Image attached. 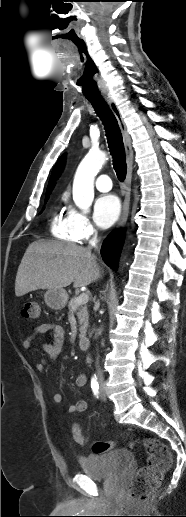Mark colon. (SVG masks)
I'll use <instances>...</instances> for the list:
<instances>
[{"instance_id":"1","label":"colon","mask_w":186,"mask_h":517,"mask_svg":"<svg viewBox=\"0 0 186 517\" xmlns=\"http://www.w3.org/2000/svg\"><path fill=\"white\" fill-rule=\"evenodd\" d=\"M40 313V305L36 301L27 302L22 309V316L25 319L37 320ZM73 437L78 443L85 441L79 426L74 427ZM132 445L143 447L148 454L147 465L137 471L128 487V497L138 501L144 500L150 492L158 487L163 474L171 467L172 458L168 447L155 438H141ZM113 446L114 443L111 441H97L93 444L92 450L95 454H101Z\"/></svg>"}]
</instances>
